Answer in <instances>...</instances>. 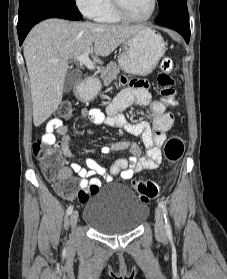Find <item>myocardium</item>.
<instances>
[{"label": "myocardium", "instance_id": "1", "mask_svg": "<svg viewBox=\"0 0 227 279\" xmlns=\"http://www.w3.org/2000/svg\"><path fill=\"white\" fill-rule=\"evenodd\" d=\"M115 12L123 19L133 22H144L149 20L157 9V0H151V9L149 13L143 17H135L129 13L122 3V0H111Z\"/></svg>", "mask_w": 227, "mask_h": 279}]
</instances>
